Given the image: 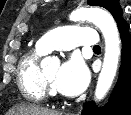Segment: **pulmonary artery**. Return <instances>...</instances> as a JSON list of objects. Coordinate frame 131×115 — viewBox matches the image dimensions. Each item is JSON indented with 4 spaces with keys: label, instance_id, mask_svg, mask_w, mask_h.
Here are the masks:
<instances>
[{
    "label": "pulmonary artery",
    "instance_id": "e3ab8cb5",
    "mask_svg": "<svg viewBox=\"0 0 131 115\" xmlns=\"http://www.w3.org/2000/svg\"><path fill=\"white\" fill-rule=\"evenodd\" d=\"M98 43L99 39L94 29L68 26L46 33L39 39L37 46L44 52H50L54 49L70 50L78 45L94 47Z\"/></svg>",
    "mask_w": 131,
    "mask_h": 115
}]
</instances>
